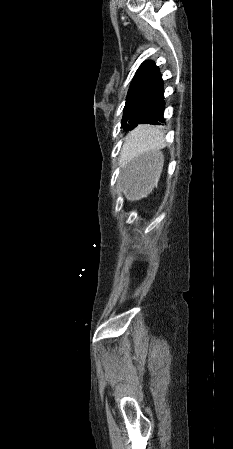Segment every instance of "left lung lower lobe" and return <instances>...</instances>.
Listing matches in <instances>:
<instances>
[{
    "label": "left lung lower lobe",
    "mask_w": 233,
    "mask_h": 449,
    "mask_svg": "<svg viewBox=\"0 0 233 449\" xmlns=\"http://www.w3.org/2000/svg\"><path fill=\"white\" fill-rule=\"evenodd\" d=\"M164 108H165V101L163 91L144 115L142 123L160 125V122H165V119L163 117Z\"/></svg>",
    "instance_id": "0a47b994"
}]
</instances>
